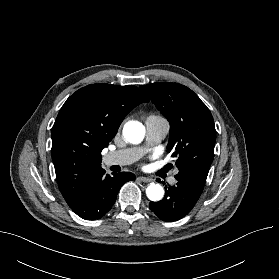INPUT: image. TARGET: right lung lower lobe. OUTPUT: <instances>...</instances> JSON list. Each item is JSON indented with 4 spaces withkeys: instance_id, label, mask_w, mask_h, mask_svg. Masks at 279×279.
<instances>
[{
    "instance_id": "right-lung-lower-lobe-1",
    "label": "right lung lower lobe",
    "mask_w": 279,
    "mask_h": 279,
    "mask_svg": "<svg viewBox=\"0 0 279 279\" xmlns=\"http://www.w3.org/2000/svg\"><path fill=\"white\" fill-rule=\"evenodd\" d=\"M135 179L130 172L105 174L103 169L98 170L90 179L87 186L70 208L85 220H95L104 216L113 206L121 186Z\"/></svg>"
}]
</instances>
